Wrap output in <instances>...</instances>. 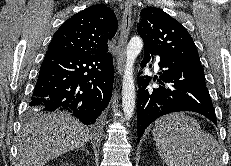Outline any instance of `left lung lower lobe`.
Segmentation results:
<instances>
[{"instance_id":"0a47b994","label":"left lung lower lobe","mask_w":231,"mask_h":166,"mask_svg":"<svg viewBox=\"0 0 231 166\" xmlns=\"http://www.w3.org/2000/svg\"><path fill=\"white\" fill-rule=\"evenodd\" d=\"M156 55L145 48L141 67ZM159 86H149L150 77L138 79L137 130L138 140L157 118L178 111H193L217 125L214 107L206 87L202 65L178 63L160 57Z\"/></svg>"}]
</instances>
